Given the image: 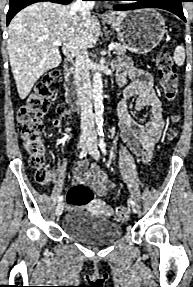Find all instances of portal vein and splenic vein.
<instances>
[{"label":"portal vein and splenic vein","mask_w":193,"mask_h":287,"mask_svg":"<svg viewBox=\"0 0 193 287\" xmlns=\"http://www.w3.org/2000/svg\"><path fill=\"white\" fill-rule=\"evenodd\" d=\"M62 43H61V41H56L55 43H54V46H60ZM115 48V45L113 44V43H111L110 45H109V50H113Z\"/></svg>","instance_id":"1"}]
</instances>
